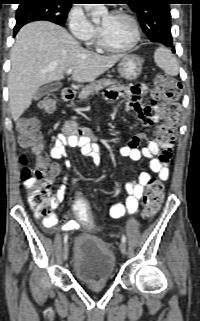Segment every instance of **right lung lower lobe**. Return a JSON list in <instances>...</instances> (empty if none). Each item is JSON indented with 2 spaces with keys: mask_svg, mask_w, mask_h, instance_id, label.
<instances>
[{
  "mask_svg": "<svg viewBox=\"0 0 200 321\" xmlns=\"http://www.w3.org/2000/svg\"><path fill=\"white\" fill-rule=\"evenodd\" d=\"M32 19H33V21L39 20L38 18H32ZM30 22H32V21H30ZM27 23H29V22H27L26 20L17 23L16 26L14 27V35H16V33L18 32V30H19L23 25H25V24H27Z\"/></svg>",
  "mask_w": 200,
  "mask_h": 321,
  "instance_id": "1",
  "label": "right lung lower lobe"
}]
</instances>
